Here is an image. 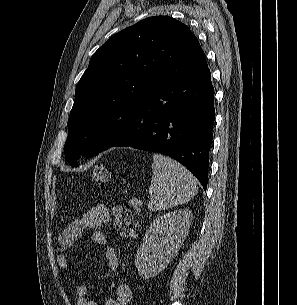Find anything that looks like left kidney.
<instances>
[{
	"mask_svg": "<svg viewBox=\"0 0 297 305\" xmlns=\"http://www.w3.org/2000/svg\"><path fill=\"white\" fill-rule=\"evenodd\" d=\"M191 220V210L184 208L163 214L151 223L135 258L143 279L157 276L175 257L188 235Z\"/></svg>",
	"mask_w": 297,
	"mask_h": 305,
	"instance_id": "5707ae66",
	"label": "left kidney"
}]
</instances>
